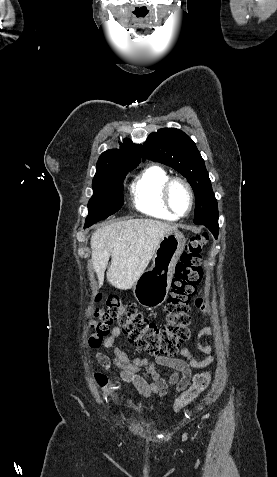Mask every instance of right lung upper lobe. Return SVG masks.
I'll return each mask as SVG.
<instances>
[{"instance_id":"obj_1","label":"right lung upper lobe","mask_w":277,"mask_h":477,"mask_svg":"<svg viewBox=\"0 0 277 477\" xmlns=\"http://www.w3.org/2000/svg\"><path fill=\"white\" fill-rule=\"evenodd\" d=\"M141 159V146L134 144L129 139H124L120 143V150L113 149L101 154L97 162V172H102L111 168L134 169Z\"/></svg>"}]
</instances>
